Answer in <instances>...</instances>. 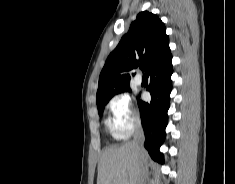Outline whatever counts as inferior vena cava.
<instances>
[{
    "label": "inferior vena cava",
    "mask_w": 235,
    "mask_h": 184,
    "mask_svg": "<svg viewBox=\"0 0 235 184\" xmlns=\"http://www.w3.org/2000/svg\"><path fill=\"white\" fill-rule=\"evenodd\" d=\"M144 140H145V136H144L143 128L141 124H136L135 134H134L132 144L133 146H135V150H137L139 154L141 150H143Z\"/></svg>",
    "instance_id": "1"
}]
</instances>
